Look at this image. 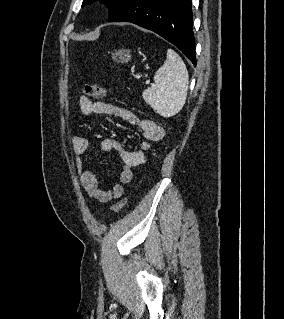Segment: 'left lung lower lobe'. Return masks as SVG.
Returning <instances> with one entry per match:
<instances>
[{
	"label": "left lung lower lobe",
	"mask_w": 284,
	"mask_h": 319,
	"mask_svg": "<svg viewBox=\"0 0 284 319\" xmlns=\"http://www.w3.org/2000/svg\"><path fill=\"white\" fill-rule=\"evenodd\" d=\"M109 22H131L162 36L196 66L191 0H127Z\"/></svg>",
	"instance_id": "1"
}]
</instances>
